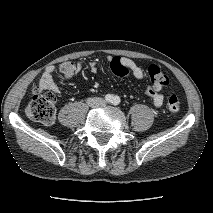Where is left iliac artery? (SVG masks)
I'll return each instance as SVG.
<instances>
[{
	"label": "left iliac artery",
	"mask_w": 213,
	"mask_h": 213,
	"mask_svg": "<svg viewBox=\"0 0 213 213\" xmlns=\"http://www.w3.org/2000/svg\"><path fill=\"white\" fill-rule=\"evenodd\" d=\"M119 103H120V98H119L118 96H115V97L113 98L112 104L118 105Z\"/></svg>",
	"instance_id": "left-iliac-artery-1"
}]
</instances>
